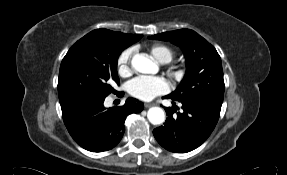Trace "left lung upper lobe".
Here are the masks:
<instances>
[{
  "mask_svg": "<svg viewBox=\"0 0 287 175\" xmlns=\"http://www.w3.org/2000/svg\"><path fill=\"white\" fill-rule=\"evenodd\" d=\"M149 39L170 41L184 52L187 71L170 97L177 101L198 102L220 113L225 85L221 58L216 49L189 29L160 33Z\"/></svg>",
  "mask_w": 287,
  "mask_h": 175,
  "instance_id": "obj_1",
  "label": "left lung upper lobe"
}]
</instances>
